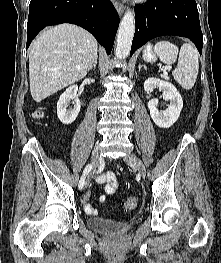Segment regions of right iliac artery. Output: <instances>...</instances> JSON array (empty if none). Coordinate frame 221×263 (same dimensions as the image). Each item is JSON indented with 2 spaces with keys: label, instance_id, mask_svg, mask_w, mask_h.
I'll list each match as a JSON object with an SVG mask.
<instances>
[{
  "label": "right iliac artery",
  "instance_id": "82829eb1",
  "mask_svg": "<svg viewBox=\"0 0 221 263\" xmlns=\"http://www.w3.org/2000/svg\"><path fill=\"white\" fill-rule=\"evenodd\" d=\"M91 169H92V165H91V164H88V165L85 167V169H84V171H83V175H82V177H81V179H80V181H79V184H78L79 189H82V188L84 187L85 177H86V175L91 171Z\"/></svg>",
  "mask_w": 221,
  "mask_h": 263
}]
</instances>
